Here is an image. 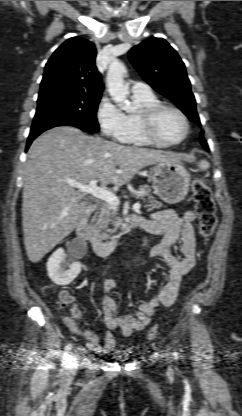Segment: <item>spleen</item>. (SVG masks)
<instances>
[{"label": "spleen", "mask_w": 242, "mask_h": 416, "mask_svg": "<svg viewBox=\"0 0 242 416\" xmlns=\"http://www.w3.org/2000/svg\"><path fill=\"white\" fill-rule=\"evenodd\" d=\"M209 163L206 160H201L199 163V168L201 169H208L209 168Z\"/></svg>", "instance_id": "spleen-1"}]
</instances>
